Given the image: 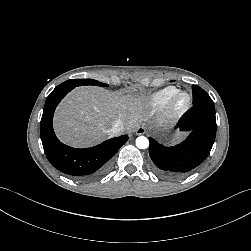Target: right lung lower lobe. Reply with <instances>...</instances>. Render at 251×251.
Instances as JSON below:
<instances>
[{"instance_id":"1","label":"right lung lower lobe","mask_w":251,"mask_h":251,"mask_svg":"<svg viewBox=\"0 0 251 251\" xmlns=\"http://www.w3.org/2000/svg\"><path fill=\"white\" fill-rule=\"evenodd\" d=\"M73 87L57 86L47 97L41 118V140L46 157L59 171L78 178H97L106 172L108 161L127 142L122 135L84 149L73 148L61 143L53 130V115L59 102Z\"/></svg>"}]
</instances>
